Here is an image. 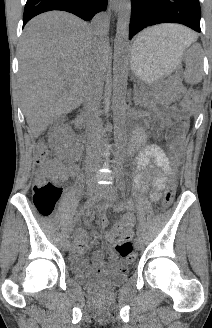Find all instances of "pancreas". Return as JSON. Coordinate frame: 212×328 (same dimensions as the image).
Instances as JSON below:
<instances>
[{
	"label": "pancreas",
	"instance_id": "cf45deb5",
	"mask_svg": "<svg viewBox=\"0 0 212 328\" xmlns=\"http://www.w3.org/2000/svg\"><path fill=\"white\" fill-rule=\"evenodd\" d=\"M154 95L153 94H146L143 97H141V100L138 101V104L140 106H147L149 104H152L154 102Z\"/></svg>",
	"mask_w": 212,
	"mask_h": 328
}]
</instances>
